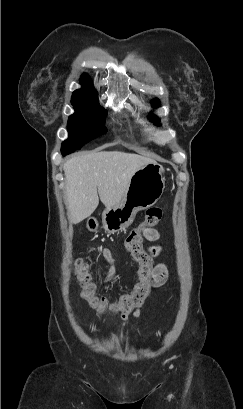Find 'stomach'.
Returning a JSON list of instances; mask_svg holds the SVG:
<instances>
[{"label":"stomach","mask_w":243,"mask_h":409,"mask_svg":"<svg viewBox=\"0 0 243 409\" xmlns=\"http://www.w3.org/2000/svg\"><path fill=\"white\" fill-rule=\"evenodd\" d=\"M165 168L149 163L138 169L132 176L121 202L102 213V224L109 233L120 232L134 220L137 212L153 206L162 196L165 183ZM87 228L96 231L98 222L89 218Z\"/></svg>","instance_id":"0dacf381"}]
</instances>
